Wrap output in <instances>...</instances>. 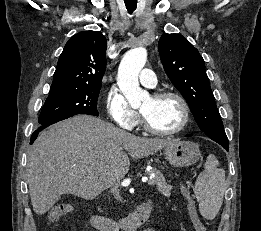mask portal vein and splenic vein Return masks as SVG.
I'll return each instance as SVG.
<instances>
[{
  "mask_svg": "<svg viewBox=\"0 0 261 231\" xmlns=\"http://www.w3.org/2000/svg\"><path fill=\"white\" fill-rule=\"evenodd\" d=\"M153 178H154V175H151L149 179H146L144 180L143 182H147V184L149 185H153Z\"/></svg>",
  "mask_w": 261,
  "mask_h": 231,
  "instance_id": "obj_1",
  "label": "portal vein and splenic vein"
}]
</instances>
